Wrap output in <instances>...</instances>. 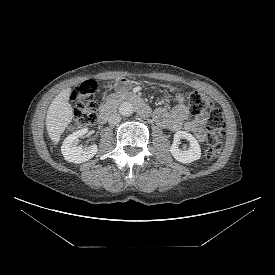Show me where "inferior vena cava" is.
I'll return each instance as SVG.
<instances>
[{
    "instance_id": "obj_1",
    "label": "inferior vena cava",
    "mask_w": 275,
    "mask_h": 275,
    "mask_svg": "<svg viewBox=\"0 0 275 275\" xmlns=\"http://www.w3.org/2000/svg\"><path fill=\"white\" fill-rule=\"evenodd\" d=\"M121 121V116L118 113H113L109 116L108 123L109 125H116Z\"/></svg>"
}]
</instances>
